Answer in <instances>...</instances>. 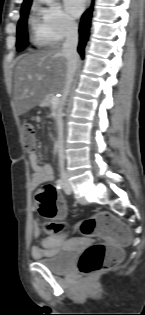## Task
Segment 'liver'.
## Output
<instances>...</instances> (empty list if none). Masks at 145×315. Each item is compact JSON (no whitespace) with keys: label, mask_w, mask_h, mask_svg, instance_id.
<instances>
[{"label":"liver","mask_w":145,"mask_h":315,"mask_svg":"<svg viewBox=\"0 0 145 315\" xmlns=\"http://www.w3.org/2000/svg\"><path fill=\"white\" fill-rule=\"evenodd\" d=\"M67 60L60 46L22 55L14 75L12 108L22 115L41 104L49 94L63 92Z\"/></svg>","instance_id":"obj_1"}]
</instances>
